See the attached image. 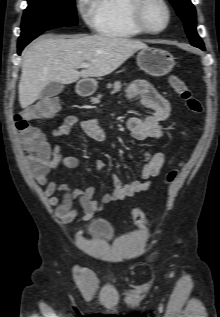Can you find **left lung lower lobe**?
<instances>
[{
    "mask_svg": "<svg viewBox=\"0 0 220 317\" xmlns=\"http://www.w3.org/2000/svg\"><path fill=\"white\" fill-rule=\"evenodd\" d=\"M198 48H200V47H198ZM200 49L204 50V47H201Z\"/></svg>",
    "mask_w": 220,
    "mask_h": 317,
    "instance_id": "obj_1",
    "label": "left lung lower lobe"
}]
</instances>
